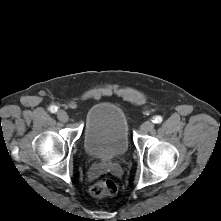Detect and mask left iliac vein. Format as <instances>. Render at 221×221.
<instances>
[{
	"label": "left iliac vein",
	"mask_w": 221,
	"mask_h": 221,
	"mask_svg": "<svg viewBox=\"0 0 221 221\" xmlns=\"http://www.w3.org/2000/svg\"><path fill=\"white\" fill-rule=\"evenodd\" d=\"M154 127V123L152 121H146L141 126L140 129L142 132H147L152 130Z\"/></svg>",
	"instance_id": "left-iliac-vein-1"
}]
</instances>
